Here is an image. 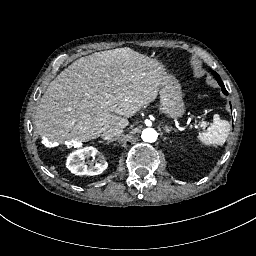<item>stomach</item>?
<instances>
[{"mask_svg":"<svg viewBox=\"0 0 256 256\" xmlns=\"http://www.w3.org/2000/svg\"><path fill=\"white\" fill-rule=\"evenodd\" d=\"M160 111L169 118L182 117L185 105L178 80L172 75H165L159 88Z\"/></svg>","mask_w":256,"mask_h":256,"instance_id":"1","label":"stomach"}]
</instances>
